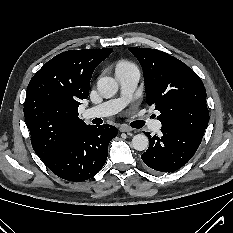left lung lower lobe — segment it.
Here are the masks:
<instances>
[{"instance_id": "left-lung-lower-lobe-1", "label": "left lung lower lobe", "mask_w": 233, "mask_h": 233, "mask_svg": "<svg viewBox=\"0 0 233 233\" xmlns=\"http://www.w3.org/2000/svg\"><path fill=\"white\" fill-rule=\"evenodd\" d=\"M160 136H151L149 148L141 155L143 162L158 172H174L185 165L197 151L202 138L174 128H161Z\"/></svg>"}]
</instances>
